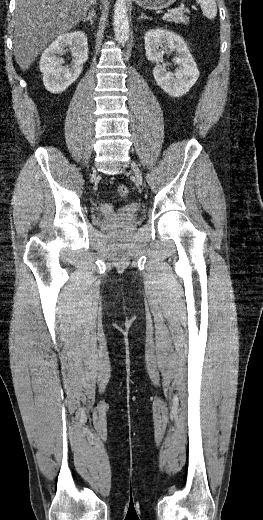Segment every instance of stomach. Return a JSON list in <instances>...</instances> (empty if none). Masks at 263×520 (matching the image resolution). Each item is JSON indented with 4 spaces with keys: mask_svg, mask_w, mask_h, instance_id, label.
Here are the masks:
<instances>
[{
    "mask_svg": "<svg viewBox=\"0 0 263 520\" xmlns=\"http://www.w3.org/2000/svg\"><path fill=\"white\" fill-rule=\"evenodd\" d=\"M137 5L144 9L160 10L169 7L176 0H133Z\"/></svg>",
    "mask_w": 263,
    "mask_h": 520,
    "instance_id": "stomach-1",
    "label": "stomach"
}]
</instances>
